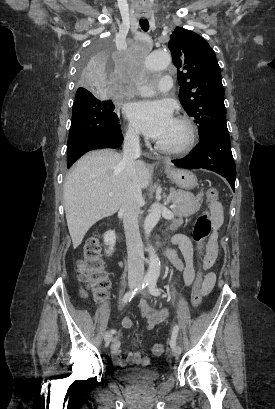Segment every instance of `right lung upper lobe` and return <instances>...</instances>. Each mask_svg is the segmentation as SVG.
I'll use <instances>...</instances> for the list:
<instances>
[{
  "instance_id": "1",
  "label": "right lung upper lobe",
  "mask_w": 275,
  "mask_h": 409,
  "mask_svg": "<svg viewBox=\"0 0 275 409\" xmlns=\"http://www.w3.org/2000/svg\"><path fill=\"white\" fill-rule=\"evenodd\" d=\"M88 90H77V92H86Z\"/></svg>"
}]
</instances>
